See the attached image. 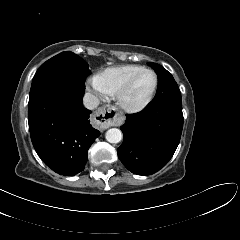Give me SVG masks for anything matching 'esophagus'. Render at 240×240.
<instances>
[{"mask_svg": "<svg viewBox=\"0 0 240 240\" xmlns=\"http://www.w3.org/2000/svg\"><path fill=\"white\" fill-rule=\"evenodd\" d=\"M120 116V113L116 111L114 106L107 105L99 108L96 111L94 115V121L98 126L106 129L112 126L115 121L120 118Z\"/></svg>", "mask_w": 240, "mask_h": 240, "instance_id": "1", "label": "esophagus"}]
</instances>
